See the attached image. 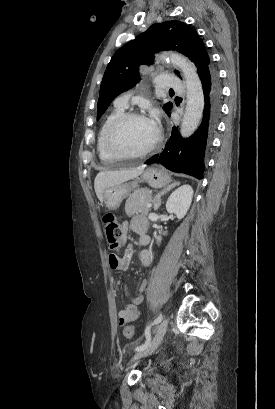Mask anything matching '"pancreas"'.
Instances as JSON below:
<instances>
[{
  "instance_id": "cf45deb5",
  "label": "pancreas",
  "mask_w": 275,
  "mask_h": 409,
  "mask_svg": "<svg viewBox=\"0 0 275 409\" xmlns=\"http://www.w3.org/2000/svg\"><path fill=\"white\" fill-rule=\"evenodd\" d=\"M152 196L149 188H138L135 192H132L128 196L125 205L126 215L132 217L134 213H143L148 215L150 209H148V202H151Z\"/></svg>"
}]
</instances>
